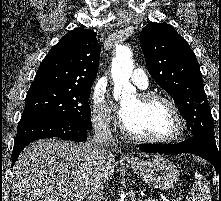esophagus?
<instances>
[{"instance_id": "34e87169", "label": "esophagus", "mask_w": 221, "mask_h": 201, "mask_svg": "<svg viewBox=\"0 0 221 201\" xmlns=\"http://www.w3.org/2000/svg\"><path fill=\"white\" fill-rule=\"evenodd\" d=\"M123 158H124V160H126L128 162H132L135 160L134 157L131 155H125Z\"/></svg>"}]
</instances>
